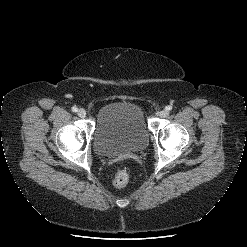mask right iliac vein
Returning <instances> with one entry per match:
<instances>
[{"label": "right iliac vein", "mask_w": 247, "mask_h": 247, "mask_svg": "<svg viewBox=\"0 0 247 247\" xmlns=\"http://www.w3.org/2000/svg\"><path fill=\"white\" fill-rule=\"evenodd\" d=\"M77 112H78V116L79 117H81V118L86 117V111H85V109L80 108Z\"/></svg>", "instance_id": "obj_1"}]
</instances>
